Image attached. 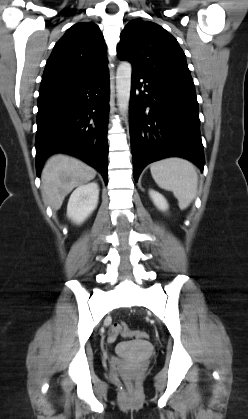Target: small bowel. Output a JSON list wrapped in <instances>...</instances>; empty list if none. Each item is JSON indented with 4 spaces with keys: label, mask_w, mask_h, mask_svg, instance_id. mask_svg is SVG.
I'll return each mask as SVG.
<instances>
[{
    "label": "small bowel",
    "mask_w": 248,
    "mask_h": 419,
    "mask_svg": "<svg viewBox=\"0 0 248 419\" xmlns=\"http://www.w3.org/2000/svg\"><path fill=\"white\" fill-rule=\"evenodd\" d=\"M114 340H115V337H114V336H110V337H109V341H110V342H114Z\"/></svg>",
    "instance_id": "obj_1"
}]
</instances>
